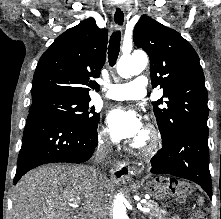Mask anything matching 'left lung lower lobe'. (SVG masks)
<instances>
[{"label": "left lung lower lobe", "instance_id": "0a47b994", "mask_svg": "<svg viewBox=\"0 0 221 219\" xmlns=\"http://www.w3.org/2000/svg\"><path fill=\"white\" fill-rule=\"evenodd\" d=\"M150 171L191 180L212 198L208 131L186 127L163 140V148L151 159Z\"/></svg>", "mask_w": 221, "mask_h": 219}]
</instances>
